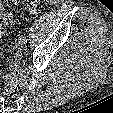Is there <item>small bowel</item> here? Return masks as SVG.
<instances>
[{"instance_id":"c3829d8e","label":"small bowel","mask_w":113,"mask_h":113,"mask_svg":"<svg viewBox=\"0 0 113 113\" xmlns=\"http://www.w3.org/2000/svg\"><path fill=\"white\" fill-rule=\"evenodd\" d=\"M13 22L14 17L11 13H7L5 9L3 8V0H0V23L3 24V27L0 25V41H1V35L3 33L4 27L6 26L7 22Z\"/></svg>"}]
</instances>
